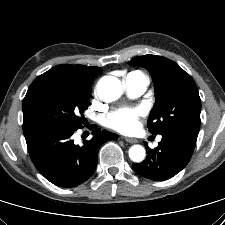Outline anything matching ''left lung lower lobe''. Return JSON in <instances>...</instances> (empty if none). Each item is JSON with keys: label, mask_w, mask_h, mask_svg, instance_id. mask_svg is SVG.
<instances>
[{"label": "left lung lower lobe", "mask_w": 225, "mask_h": 225, "mask_svg": "<svg viewBox=\"0 0 225 225\" xmlns=\"http://www.w3.org/2000/svg\"><path fill=\"white\" fill-rule=\"evenodd\" d=\"M162 140L156 149L146 144L148 155L142 163H133L132 167L139 175L164 181L180 172L191 159L197 138L166 131L161 133Z\"/></svg>", "instance_id": "0a47b994"}]
</instances>
